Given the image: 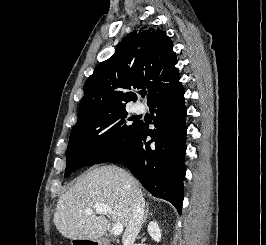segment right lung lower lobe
<instances>
[{
  "mask_svg": "<svg viewBox=\"0 0 266 245\" xmlns=\"http://www.w3.org/2000/svg\"><path fill=\"white\" fill-rule=\"evenodd\" d=\"M148 106L155 114V129L148 130L147 124L138 122L131 144L109 161L124 163L152 195L171 202L181 213L187 131L181 83L153 98Z\"/></svg>",
  "mask_w": 266,
  "mask_h": 245,
  "instance_id": "right-lung-lower-lobe-1",
  "label": "right lung lower lobe"
}]
</instances>
